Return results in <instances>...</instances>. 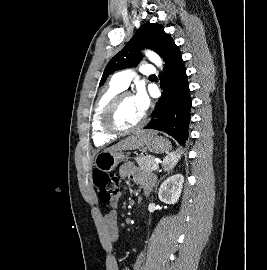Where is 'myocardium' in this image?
Wrapping results in <instances>:
<instances>
[{"mask_svg":"<svg viewBox=\"0 0 267 270\" xmlns=\"http://www.w3.org/2000/svg\"><path fill=\"white\" fill-rule=\"evenodd\" d=\"M127 97H132V96L128 92H120L108 103V105L104 109L103 114H102L101 124H102L103 131L107 133L108 135L115 136V137L127 135L141 129L145 125L147 121V117L145 113L143 114L141 120L136 125L130 128H120L116 124L115 115H116L117 109L120 106L121 102Z\"/></svg>","mask_w":267,"mask_h":270,"instance_id":"f54148a6","label":"myocardium"}]
</instances>
